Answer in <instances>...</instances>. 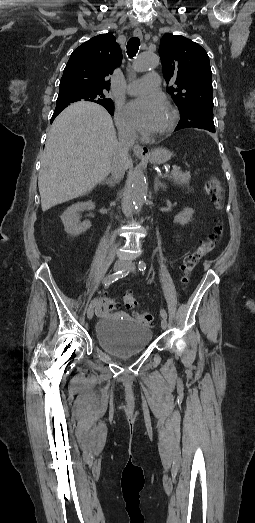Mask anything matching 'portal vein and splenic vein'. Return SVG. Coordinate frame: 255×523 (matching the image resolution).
<instances>
[{
	"label": "portal vein and splenic vein",
	"mask_w": 255,
	"mask_h": 523,
	"mask_svg": "<svg viewBox=\"0 0 255 523\" xmlns=\"http://www.w3.org/2000/svg\"><path fill=\"white\" fill-rule=\"evenodd\" d=\"M175 173V174H178L179 172H183V169H180L178 167H175L174 169L173 168H168V173ZM159 174H162V171H159Z\"/></svg>",
	"instance_id": "18ae733b"
}]
</instances>
